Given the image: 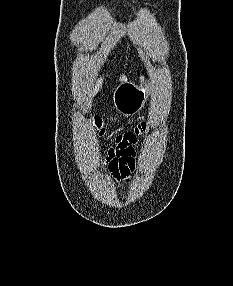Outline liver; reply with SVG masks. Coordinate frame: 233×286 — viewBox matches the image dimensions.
<instances>
[{
	"label": "liver",
	"instance_id": "liver-1",
	"mask_svg": "<svg viewBox=\"0 0 233 286\" xmlns=\"http://www.w3.org/2000/svg\"><path fill=\"white\" fill-rule=\"evenodd\" d=\"M120 80L121 81L126 80L125 75H122L120 77ZM102 81H103V78H100L97 80L96 84L91 88L90 95H89L90 97H94L98 93L100 87L102 86Z\"/></svg>",
	"mask_w": 233,
	"mask_h": 286
}]
</instances>
